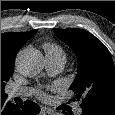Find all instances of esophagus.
<instances>
[{
    "label": "esophagus",
    "instance_id": "obj_1",
    "mask_svg": "<svg viewBox=\"0 0 115 115\" xmlns=\"http://www.w3.org/2000/svg\"><path fill=\"white\" fill-rule=\"evenodd\" d=\"M41 112L47 113V114H53L54 113V111L48 107H41Z\"/></svg>",
    "mask_w": 115,
    "mask_h": 115
}]
</instances>
